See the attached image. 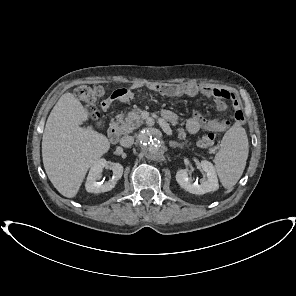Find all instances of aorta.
Wrapping results in <instances>:
<instances>
[{
  "label": "aorta",
  "mask_w": 296,
  "mask_h": 296,
  "mask_svg": "<svg viewBox=\"0 0 296 296\" xmlns=\"http://www.w3.org/2000/svg\"><path fill=\"white\" fill-rule=\"evenodd\" d=\"M137 143L145 156L151 160L161 158L165 152V147L161 141L148 131H142L138 135Z\"/></svg>",
  "instance_id": "762f6f07"
}]
</instances>
